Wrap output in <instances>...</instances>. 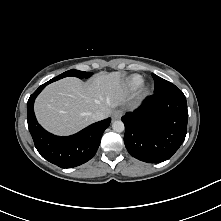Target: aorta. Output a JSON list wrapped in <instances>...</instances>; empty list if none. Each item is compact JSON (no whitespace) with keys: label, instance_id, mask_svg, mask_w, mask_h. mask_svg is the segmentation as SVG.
<instances>
[{"label":"aorta","instance_id":"obj_1","mask_svg":"<svg viewBox=\"0 0 221 221\" xmlns=\"http://www.w3.org/2000/svg\"><path fill=\"white\" fill-rule=\"evenodd\" d=\"M112 129L118 133L123 132L125 129L124 123L121 120H116L112 123Z\"/></svg>","mask_w":221,"mask_h":221}]
</instances>
